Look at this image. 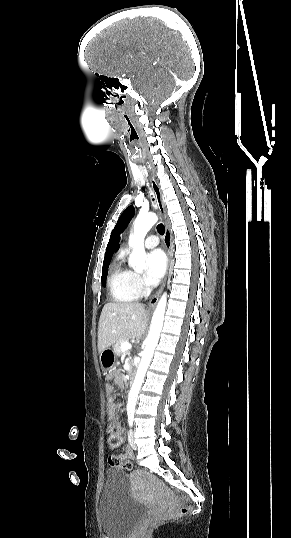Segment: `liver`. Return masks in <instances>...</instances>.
Masks as SVG:
<instances>
[{"label":"liver","mask_w":291,"mask_h":538,"mask_svg":"<svg viewBox=\"0 0 291 538\" xmlns=\"http://www.w3.org/2000/svg\"><path fill=\"white\" fill-rule=\"evenodd\" d=\"M147 325V311L140 303L110 302L104 305L98 326L101 353L126 337H140Z\"/></svg>","instance_id":"liver-1"}]
</instances>
